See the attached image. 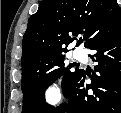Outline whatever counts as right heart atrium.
<instances>
[{
	"mask_svg": "<svg viewBox=\"0 0 121 113\" xmlns=\"http://www.w3.org/2000/svg\"><path fill=\"white\" fill-rule=\"evenodd\" d=\"M47 97L52 102H58L61 100V94L57 87L52 86L47 90Z\"/></svg>",
	"mask_w": 121,
	"mask_h": 113,
	"instance_id": "right-heart-atrium-1",
	"label": "right heart atrium"
}]
</instances>
